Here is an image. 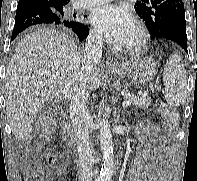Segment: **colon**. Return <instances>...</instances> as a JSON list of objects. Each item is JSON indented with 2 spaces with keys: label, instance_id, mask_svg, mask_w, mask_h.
<instances>
[{
  "label": "colon",
  "instance_id": "1",
  "mask_svg": "<svg viewBox=\"0 0 197 181\" xmlns=\"http://www.w3.org/2000/svg\"><path fill=\"white\" fill-rule=\"evenodd\" d=\"M161 114L165 120V127L167 131H174L179 120V113L175 108L163 105ZM65 163L64 157L61 155H54L50 158V165L58 168ZM24 174L29 181H51L49 172L45 168L41 154L36 151H30L26 155L23 164Z\"/></svg>",
  "mask_w": 197,
  "mask_h": 181
}]
</instances>
